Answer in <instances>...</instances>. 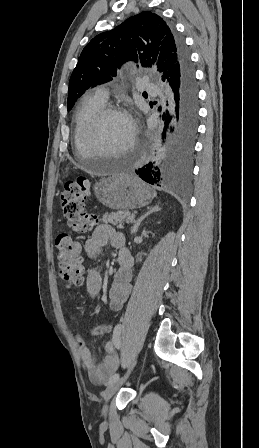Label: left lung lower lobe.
I'll use <instances>...</instances> for the list:
<instances>
[{
  "mask_svg": "<svg viewBox=\"0 0 259 448\" xmlns=\"http://www.w3.org/2000/svg\"><path fill=\"white\" fill-rule=\"evenodd\" d=\"M176 38L181 47L180 57L162 77L163 81L167 79L174 94L173 114H163L167 129L164 128L162 138L167 135V141L156 162L136 170L144 181L171 191L181 190L189 182L198 120L194 70L183 40Z\"/></svg>",
  "mask_w": 259,
  "mask_h": 448,
  "instance_id": "1",
  "label": "left lung lower lobe"
}]
</instances>
